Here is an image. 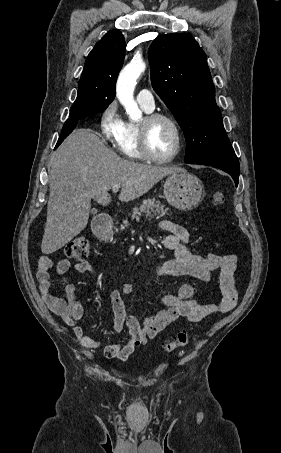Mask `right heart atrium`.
<instances>
[{
	"mask_svg": "<svg viewBox=\"0 0 281 453\" xmlns=\"http://www.w3.org/2000/svg\"><path fill=\"white\" fill-rule=\"evenodd\" d=\"M116 91L119 99H127L130 94L128 80L119 77L116 83ZM122 126L123 120L119 114L118 104L116 101H112L101 112L99 119L100 132L106 140L114 142L119 137ZM103 156L114 160V155L109 151H105Z\"/></svg>",
	"mask_w": 281,
	"mask_h": 453,
	"instance_id": "right-heart-atrium-1",
	"label": "right heart atrium"
}]
</instances>
